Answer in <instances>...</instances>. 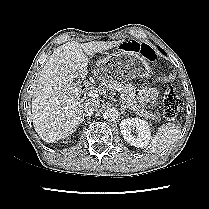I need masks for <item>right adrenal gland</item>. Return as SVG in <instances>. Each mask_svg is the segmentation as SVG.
Returning <instances> with one entry per match:
<instances>
[{
  "label": "right adrenal gland",
  "mask_w": 209,
  "mask_h": 209,
  "mask_svg": "<svg viewBox=\"0 0 209 209\" xmlns=\"http://www.w3.org/2000/svg\"><path fill=\"white\" fill-rule=\"evenodd\" d=\"M82 116H83L82 121L84 120V118H85V117H86V118H90V117H91V115H90V114H83Z\"/></svg>",
  "instance_id": "obj_1"
}]
</instances>
